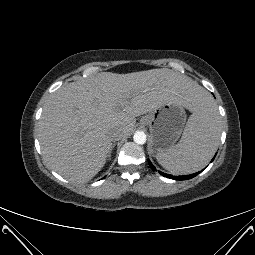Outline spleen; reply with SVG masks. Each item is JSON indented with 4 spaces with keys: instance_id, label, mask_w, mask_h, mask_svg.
Masks as SVG:
<instances>
[{
    "instance_id": "obj_1",
    "label": "spleen",
    "mask_w": 255,
    "mask_h": 255,
    "mask_svg": "<svg viewBox=\"0 0 255 255\" xmlns=\"http://www.w3.org/2000/svg\"><path fill=\"white\" fill-rule=\"evenodd\" d=\"M221 133L220 115L213 100L202 96L189 117L180 141L156 156L158 163L174 174L202 169L212 158Z\"/></svg>"
}]
</instances>
